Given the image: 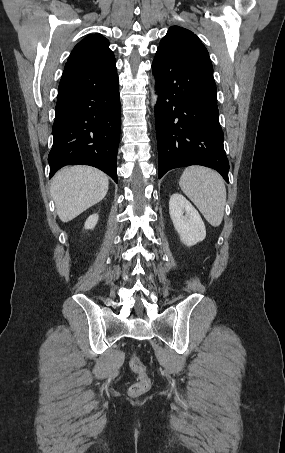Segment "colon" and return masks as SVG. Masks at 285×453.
I'll return each instance as SVG.
<instances>
[{"mask_svg": "<svg viewBox=\"0 0 285 453\" xmlns=\"http://www.w3.org/2000/svg\"><path fill=\"white\" fill-rule=\"evenodd\" d=\"M129 365L131 370L138 376L137 382L131 385L129 393L134 397L140 396L147 392L151 386V380L148 376L147 368L135 354L131 356Z\"/></svg>", "mask_w": 285, "mask_h": 453, "instance_id": "5ec220e1", "label": "colon"}]
</instances>
